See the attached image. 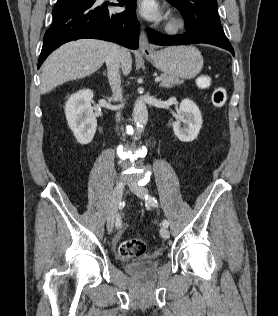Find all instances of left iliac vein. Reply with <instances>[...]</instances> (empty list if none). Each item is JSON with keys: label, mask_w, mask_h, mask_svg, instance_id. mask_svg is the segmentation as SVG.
<instances>
[{"label": "left iliac vein", "mask_w": 278, "mask_h": 316, "mask_svg": "<svg viewBox=\"0 0 278 316\" xmlns=\"http://www.w3.org/2000/svg\"><path fill=\"white\" fill-rule=\"evenodd\" d=\"M129 188L136 196H138L141 199H145V195H146V192H147L145 188L139 186L136 183H130L129 184ZM160 235H161V237L163 239H168L169 238L170 234H169V231H168L167 227H162L160 229Z\"/></svg>", "instance_id": "obj_1"}]
</instances>
